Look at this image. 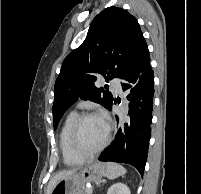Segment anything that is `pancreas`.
Returning <instances> with one entry per match:
<instances>
[{
  "label": "pancreas",
  "instance_id": "cf45deb5",
  "mask_svg": "<svg viewBox=\"0 0 201 194\" xmlns=\"http://www.w3.org/2000/svg\"><path fill=\"white\" fill-rule=\"evenodd\" d=\"M77 194H88V192L85 189H80Z\"/></svg>",
  "mask_w": 201,
  "mask_h": 194
}]
</instances>
